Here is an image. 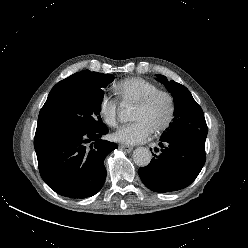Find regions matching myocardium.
<instances>
[{"label":"myocardium","mask_w":248,"mask_h":248,"mask_svg":"<svg viewBox=\"0 0 248 248\" xmlns=\"http://www.w3.org/2000/svg\"><path fill=\"white\" fill-rule=\"evenodd\" d=\"M161 96L165 97L168 102V113H167L165 120L159 126H157L155 129L152 130L154 133H161L165 131L166 129H168L170 125L172 124L174 117H175V111H176V105H175V100H174L173 95L166 90L158 89L156 91L151 92L150 94H148L147 96H145L143 99H141L140 101L136 103L137 107L147 108L158 97H161Z\"/></svg>","instance_id":"1"}]
</instances>
